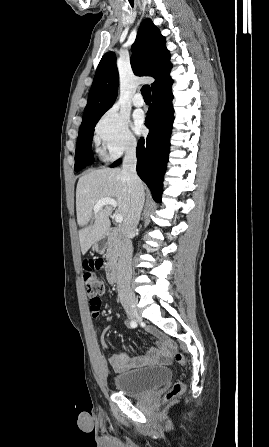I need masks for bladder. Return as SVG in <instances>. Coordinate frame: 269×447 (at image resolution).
<instances>
[{"label":"bladder","instance_id":"1","mask_svg":"<svg viewBox=\"0 0 269 447\" xmlns=\"http://www.w3.org/2000/svg\"><path fill=\"white\" fill-rule=\"evenodd\" d=\"M172 377L170 368L166 365L140 368L115 374L112 384L116 392L128 396H142L146 391H153Z\"/></svg>","mask_w":269,"mask_h":447}]
</instances>
